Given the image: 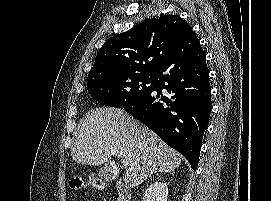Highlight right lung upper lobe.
<instances>
[{
	"mask_svg": "<svg viewBox=\"0 0 271 201\" xmlns=\"http://www.w3.org/2000/svg\"><path fill=\"white\" fill-rule=\"evenodd\" d=\"M189 34L197 39L189 24L178 15L148 19L108 39L98 51L88 77L155 74Z\"/></svg>",
	"mask_w": 271,
	"mask_h": 201,
	"instance_id": "1",
	"label": "right lung upper lobe"
}]
</instances>
